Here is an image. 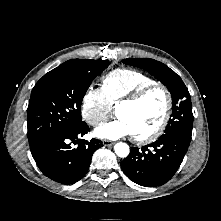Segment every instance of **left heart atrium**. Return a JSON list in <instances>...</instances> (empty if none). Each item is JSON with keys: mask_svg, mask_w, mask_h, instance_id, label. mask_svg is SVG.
Here are the masks:
<instances>
[{"mask_svg": "<svg viewBox=\"0 0 221 221\" xmlns=\"http://www.w3.org/2000/svg\"><path fill=\"white\" fill-rule=\"evenodd\" d=\"M95 136L101 139L116 140L132 135V130L125 120L118 117L95 129Z\"/></svg>", "mask_w": 221, "mask_h": 221, "instance_id": "39dd6f15", "label": "left heart atrium"}]
</instances>
